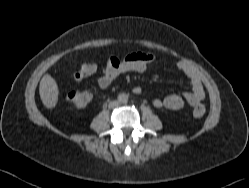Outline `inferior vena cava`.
<instances>
[{
	"mask_svg": "<svg viewBox=\"0 0 249 188\" xmlns=\"http://www.w3.org/2000/svg\"><path fill=\"white\" fill-rule=\"evenodd\" d=\"M119 105V102L117 101V100H114V101H111L110 103H109V108H115V107H117Z\"/></svg>",
	"mask_w": 249,
	"mask_h": 188,
	"instance_id": "602c4592",
	"label": "inferior vena cava"
}]
</instances>
